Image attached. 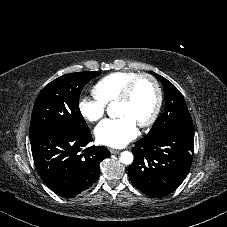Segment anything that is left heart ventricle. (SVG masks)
I'll return each instance as SVG.
<instances>
[{
    "label": "left heart ventricle",
    "instance_id": "b2bd125f",
    "mask_svg": "<svg viewBox=\"0 0 227 227\" xmlns=\"http://www.w3.org/2000/svg\"><path fill=\"white\" fill-rule=\"evenodd\" d=\"M155 100L156 94L152 83L148 79H140L131 99L127 103L116 104V115L128 117L139 126L150 116Z\"/></svg>",
    "mask_w": 227,
    "mask_h": 227
}]
</instances>
